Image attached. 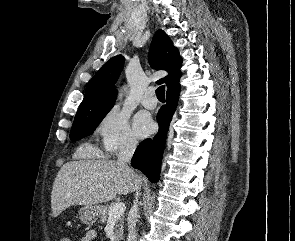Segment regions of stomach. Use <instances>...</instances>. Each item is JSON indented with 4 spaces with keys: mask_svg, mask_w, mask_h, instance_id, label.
Masks as SVG:
<instances>
[{
    "mask_svg": "<svg viewBox=\"0 0 295 241\" xmlns=\"http://www.w3.org/2000/svg\"><path fill=\"white\" fill-rule=\"evenodd\" d=\"M103 206L98 204L85 205L79 210V218L84 224H92L100 217Z\"/></svg>",
    "mask_w": 295,
    "mask_h": 241,
    "instance_id": "1",
    "label": "stomach"
}]
</instances>
